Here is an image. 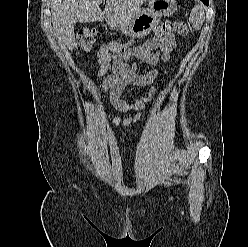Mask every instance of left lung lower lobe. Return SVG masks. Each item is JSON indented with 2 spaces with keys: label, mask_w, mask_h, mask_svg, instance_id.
Here are the masks:
<instances>
[{
  "label": "left lung lower lobe",
  "mask_w": 248,
  "mask_h": 247,
  "mask_svg": "<svg viewBox=\"0 0 248 247\" xmlns=\"http://www.w3.org/2000/svg\"><path fill=\"white\" fill-rule=\"evenodd\" d=\"M205 5H209V0H201Z\"/></svg>",
  "instance_id": "1"
}]
</instances>
